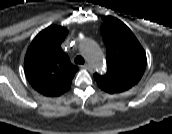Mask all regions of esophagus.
<instances>
[{"instance_id":"34e87169","label":"esophagus","mask_w":172,"mask_h":134,"mask_svg":"<svg viewBox=\"0 0 172 134\" xmlns=\"http://www.w3.org/2000/svg\"><path fill=\"white\" fill-rule=\"evenodd\" d=\"M81 67L84 68V69H87V70H91L92 71V67L89 64H84Z\"/></svg>"}]
</instances>
